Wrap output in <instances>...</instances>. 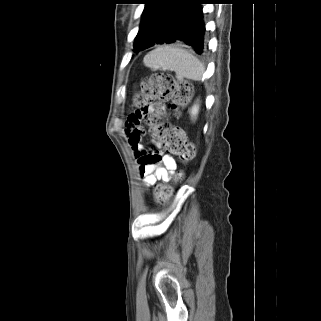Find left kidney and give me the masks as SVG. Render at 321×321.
<instances>
[{"label":"left kidney","mask_w":321,"mask_h":321,"mask_svg":"<svg viewBox=\"0 0 321 321\" xmlns=\"http://www.w3.org/2000/svg\"><path fill=\"white\" fill-rule=\"evenodd\" d=\"M199 108H200V106H199L198 103L194 104V105L191 107V109H190V115H191L192 119H196V117H197V115H198V113H199Z\"/></svg>","instance_id":"left-kidney-1"}]
</instances>
